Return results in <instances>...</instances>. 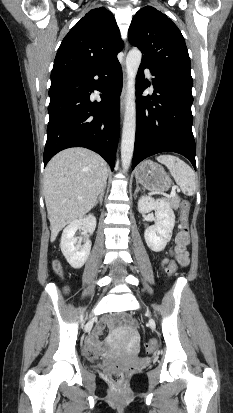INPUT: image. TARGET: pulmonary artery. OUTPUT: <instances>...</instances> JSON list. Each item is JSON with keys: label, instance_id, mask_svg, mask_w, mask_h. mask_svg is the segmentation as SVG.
Instances as JSON below:
<instances>
[{"label": "pulmonary artery", "instance_id": "e3ab8cb5", "mask_svg": "<svg viewBox=\"0 0 233 413\" xmlns=\"http://www.w3.org/2000/svg\"><path fill=\"white\" fill-rule=\"evenodd\" d=\"M146 74H147V77L149 78V80L152 82L153 77H152L151 73L149 71H147Z\"/></svg>", "mask_w": 233, "mask_h": 413}]
</instances>
